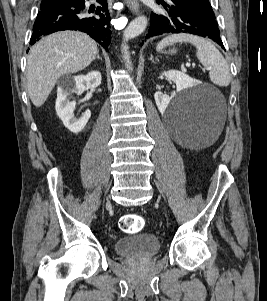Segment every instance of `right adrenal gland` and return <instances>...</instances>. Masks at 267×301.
Listing matches in <instances>:
<instances>
[{
  "mask_svg": "<svg viewBox=\"0 0 267 301\" xmlns=\"http://www.w3.org/2000/svg\"><path fill=\"white\" fill-rule=\"evenodd\" d=\"M96 58L99 59V60H102V58H101L100 55H99V51L97 52Z\"/></svg>",
  "mask_w": 267,
  "mask_h": 301,
  "instance_id": "2a0ac1e0",
  "label": "right adrenal gland"
}]
</instances>
